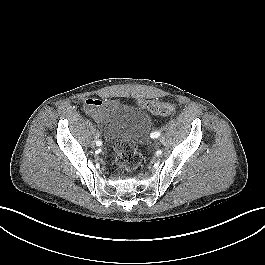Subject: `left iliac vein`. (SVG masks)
<instances>
[{
    "label": "left iliac vein",
    "instance_id": "left-iliac-vein-1",
    "mask_svg": "<svg viewBox=\"0 0 265 265\" xmlns=\"http://www.w3.org/2000/svg\"><path fill=\"white\" fill-rule=\"evenodd\" d=\"M160 142H161L162 144H164V143H165V138H164V137H160Z\"/></svg>",
    "mask_w": 265,
    "mask_h": 265
}]
</instances>
